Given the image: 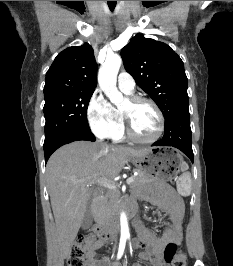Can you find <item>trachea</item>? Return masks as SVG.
Masks as SVG:
<instances>
[{
    "label": "trachea",
    "instance_id": "obj_1",
    "mask_svg": "<svg viewBox=\"0 0 233 266\" xmlns=\"http://www.w3.org/2000/svg\"><path fill=\"white\" fill-rule=\"evenodd\" d=\"M108 6L111 11H114L116 6V1H108Z\"/></svg>",
    "mask_w": 233,
    "mask_h": 266
}]
</instances>
